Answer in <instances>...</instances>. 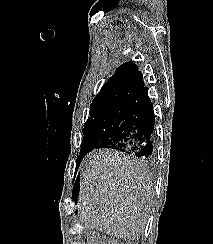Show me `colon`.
Masks as SVG:
<instances>
[{
	"label": "colon",
	"instance_id": "5ec220e1",
	"mask_svg": "<svg viewBox=\"0 0 213 244\" xmlns=\"http://www.w3.org/2000/svg\"><path fill=\"white\" fill-rule=\"evenodd\" d=\"M103 244H112V243L108 242V243H103Z\"/></svg>",
	"mask_w": 213,
	"mask_h": 244
}]
</instances>
